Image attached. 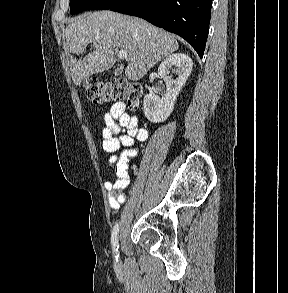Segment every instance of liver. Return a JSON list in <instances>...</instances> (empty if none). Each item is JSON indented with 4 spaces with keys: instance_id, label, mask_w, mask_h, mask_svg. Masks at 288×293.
Segmentation results:
<instances>
[{
    "instance_id": "obj_1",
    "label": "liver",
    "mask_w": 288,
    "mask_h": 293,
    "mask_svg": "<svg viewBox=\"0 0 288 293\" xmlns=\"http://www.w3.org/2000/svg\"><path fill=\"white\" fill-rule=\"evenodd\" d=\"M68 52L83 54L89 43L95 50L77 60L70 57L73 82L80 86L93 74L108 71L116 61L119 48L128 53L125 75L138 81L155 64L174 53L179 44L171 34L147 21L109 10L96 11L73 19L65 30Z\"/></svg>"
}]
</instances>
